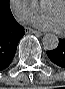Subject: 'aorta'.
<instances>
[{
	"mask_svg": "<svg viewBox=\"0 0 65 89\" xmlns=\"http://www.w3.org/2000/svg\"><path fill=\"white\" fill-rule=\"evenodd\" d=\"M43 47L45 50L52 51L59 45V39L55 34H46L42 39Z\"/></svg>",
	"mask_w": 65,
	"mask_h": 89,
	"instance_id": "aorta-1",
	"label": "aorta"
}]
</instances>
